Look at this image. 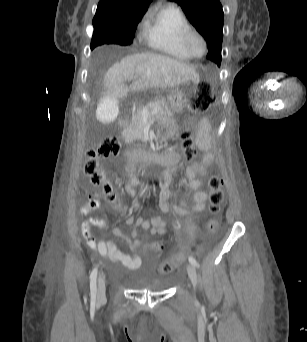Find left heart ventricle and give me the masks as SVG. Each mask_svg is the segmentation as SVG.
I'll use <instances>...</instances> for the list:
<instances>
[{
    "label": "left heart ventricle",
    "instance_id": "1",
    "mask_svg": "<svg viewBox=\"0 0 307 342\" xmlns=\"http://www.w3.org/2000/svg\"><path fill=\"white\" fill-rule=\"evenodd\" d=\"M203 43L198 34H194L189 39V49L195 56H200L203 52Z\"/></svg>",
    "mask_w": 307,
    "mask_h": 342
}]
</instances>
